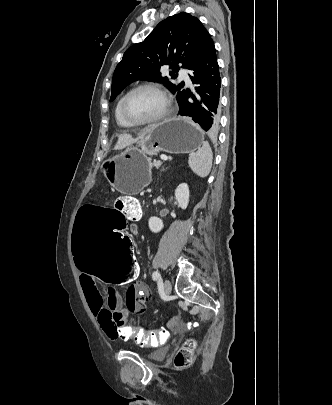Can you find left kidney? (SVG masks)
I'll return each instance as SVG.
<instances>
[{
	"mask_svg": "<svg viewBox=\"0 0 332 405\" xmlns=\"http://www.w3.org/2000/svg\"><path fill=\"white\" fill-rule=\"evenodd\" d=\"M189 196H190L189 187L186 183H182L176 188L175 197L179 207L182 208L183 210L186 209L188 206ZM148 224L150 230L154 233L160 232L164 227L163 221L157 217H151L149 219Z\"/></svg>",
	"mask_w": 332,
	"mask_h": 405,
	"instance_id": "5707ae66",
	"label": "left kidney"
}]
</instances>
